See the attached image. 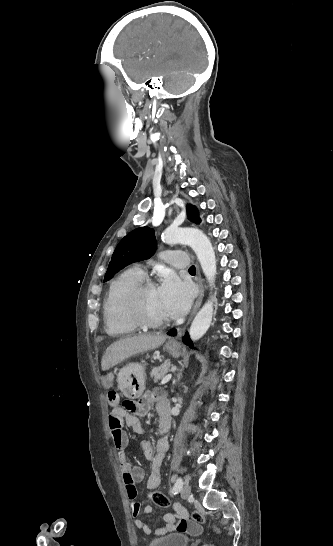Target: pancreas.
I'll use <instances>...</instances> for the list:
<instances>
[{"label": "pancreas", "mask_w": 333, "mask_h": 546, "mask_svg": "<svg viewBox=\"0 0 333 546\" xmlns=\"http://www.w3.org/2000/svg\"><path fill=\"white\" fill-rule=\"evenodd\" d=\"M172 367L170 361L164 362L162 365L158 367H154L151 372V377L156 382L157 380H160L166 376L170 368Z\"/></svg>", "instance_id": "obj_1"}]
</instances>
